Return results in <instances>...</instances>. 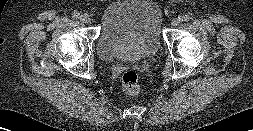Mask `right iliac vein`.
Instances as JSON below:
<instances>
[{
	"label": "right iliac vein",
	"mask_w": 253,
	"mask_h": 131,
	"mask_svg": "<svg viewBox=\"0 0 253 131\" xmlns=\"http://www.w3.org/2000/svg\"><path fill=\"white\" fill-rule=\"evenodd\" d=\"M80 19L85 24H90L91 23V18L87 14L81 15Z\"/></svg>",
	"instance_id": "right-iliac-vein-1"
}]
</instances>
